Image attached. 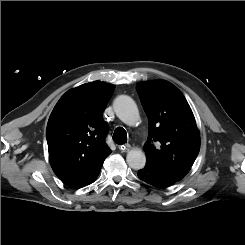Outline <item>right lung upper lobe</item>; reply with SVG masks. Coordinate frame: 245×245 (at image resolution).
Segmentation results:
<instances>
[{"mask_svg": "<svg viewBox=\"0 0 245 245\" xmlns=\"http://www.w3.org/2000/svg\"><path fill=\"white\" fill-rule=\"evenodd\" d=\"M114 88L100 81L80 85L66 92L50 115L46 130L50 164L70 187L91 183L111 153L102 113Z\"/></svg>", "mask_w": 245, "mask_h": 245, "instance_id": "obj_1", "label": "right lung upper lobe"}]
</instances>
